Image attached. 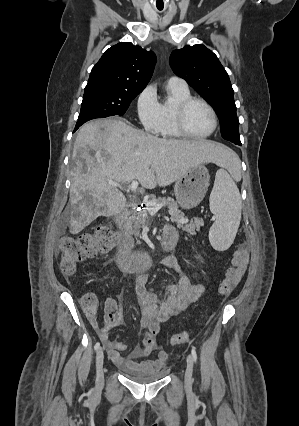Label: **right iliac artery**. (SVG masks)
Listing matches in <instances>:
<instances>
[{"mask_svg":"<svg viewBox=\"0 0 299 426\" xmlns=\"http://www.w3.org/2000/svg\"><path fill=\"white\" fill-rule=\"evenodd\" d=\"M100 348V343L99 342H97L96 344H95V346H94V349L95 350H98Z\"/></svg>","mask_w":299,"mask_h":426,"instance_id":"right-iliac-artery-1","label":"right iliac artery"}]
</instances>
